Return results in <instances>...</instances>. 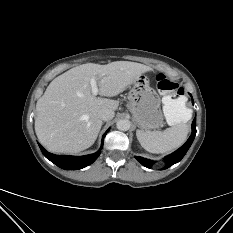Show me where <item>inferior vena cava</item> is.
<instances>
[{
  "mask_svg": "<svg viewBox=\"0 0 233 233\" xmlns=\"http://www.w3.org/2000/svg\"><path fill=\"white\" fill-rule=\"evenodd\" d=\"M98 117L103 121H109L114 117V111L109 109H101L98 112Z\"/></svg>",
  "mask_w": 233,
  "mask_h": 233,
  "instance_id": "obj_1",
  "label": "inferior vena cava"
}]
</instances>
